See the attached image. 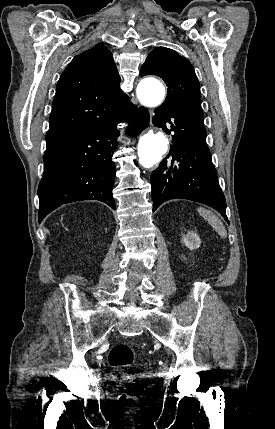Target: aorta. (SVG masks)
Wrapping results in <instances>:
<instances>
[{
	"label": "aorta",
	"mask_w": 275,
	"mask_h": 429,
	"mask_svg": "<svg viewBox=\"0 0 275 429\" xmlns=\"http://www.w3.org/2000/svg\"><path fill=\"white\" fill-rule=\"evenodd\" d=\"M137 96L144 106L155 107L162 103L165 88L157 79L145 78L138 85ZM167 150L168 139L162 131L149 130L139 139V161L144 167H151L159 162Z\"/></svg>",
	"instance_id": "762f6f07"
}]
</instances>
